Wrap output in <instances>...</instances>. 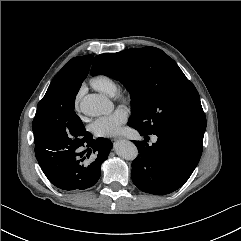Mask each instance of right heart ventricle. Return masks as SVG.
<instances>
[{"mask_svg": "<svg viewBox=\"0 0 241 241\" xmlns=\"http://www.w3.org/2000/svg\"><path fill=\"white\" fill-rule=\"evenodd\" d=\"M90 84L97 91L109 96L114 95L118 89L116 81L105 74L95 75L91 78Z\"/></svg>", "mask_w": 241, "mask_h": 241, "instance_id": "e07e8e85", "label": "right heart ventricle"}]
</instances>
